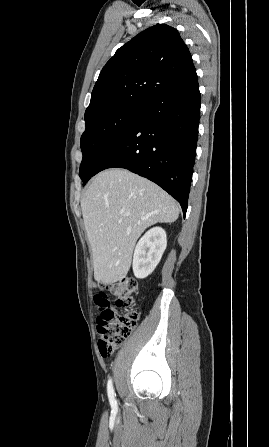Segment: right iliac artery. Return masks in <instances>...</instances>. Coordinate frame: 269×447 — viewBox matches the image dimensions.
Masks as SVG:
<instances>
[{
    "mask_svg": "<svg viewBox=\"0 0 269 447\" xmlns=\"http://www.w3.org/2000/svg\"><path fill=\"white\" fill-rule=\"evenodd\" d=\"M107 392H108V398H109L111 407L113 409H117V402L115 399L116 394L114 393L111 379L108 381V384H107Z\"/></svg>",
    "mask_w": 269,
    "mask_h": 447,
    "instance_id": "82829eb1",
    "label": "right iliac artery"
}]
</instances>
